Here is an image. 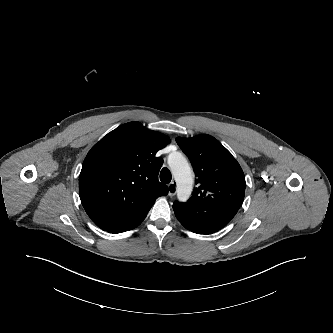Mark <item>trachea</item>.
I'll return each mask as SVG.
<instances>
[{
	"label": "trachea",
	"mask_w": 333,
	"mask_h": 333,
	"mask_svg": "<svg viewBox=\"0 0 333 333\" xmlns=\"http://www.w3.org/2000/svg\"><path fill=\"white\" fill-rule=\"evenodd\" d=\"M172 179V175H171V172L168 168L164 167L161 172H160V180L163 182V183H170Z\"/></svg>",
	"instance_id": "3493384b"
}]
</instances>
